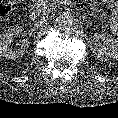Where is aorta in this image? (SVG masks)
<instances>
[{
    "instance_id": "1",
    "label": "aorta",
    "mask_w": 118,
    "mask_h": 118,
    "mask_svg": "<svg viewBox=\"0 0 118 118\" xmlns=\"http://www.w3.org/2000/svg\"><path fill=\"white\" fill-rule=\"evenodd\" d=\"M56 24L67 30H75L81 26L80 21L70 13L60 14L55 19Z\"/></svg>"
}]
</instances>
